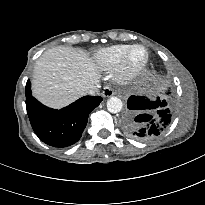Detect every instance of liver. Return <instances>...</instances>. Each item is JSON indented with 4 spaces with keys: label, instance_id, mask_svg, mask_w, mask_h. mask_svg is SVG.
I'll use <instances>...</instances> for the list:
<instances>
[{
    "label": "liver",
    "instance_id": "liver-1",
    "mask_svg": "<svg viewBox=\"0 0 205 205\" xmlns=\"http://www.w3.org/2000/svg\"><path fill=\"white\" fill-rule=\"evenodd\" d=\"M99 78L98 66L84 50L57 46L36 61L32 93L46 106L60 109L86 95Z\"/></svg>",
    "mask_w": 205,
    "mask_h": 205
}]
</instances>
